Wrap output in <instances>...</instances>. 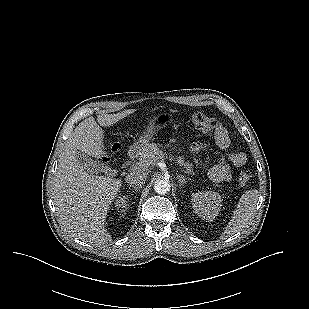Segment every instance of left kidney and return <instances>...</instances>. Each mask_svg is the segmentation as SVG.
Wrapping results in <instances>:
<instances>
[{
	"label": "left kidney",
	"mask_w": 309,
	"mask_h": 309,
	"mask_svg": "<svg viewBox=\"0 0 309 309\" xmlns=\"http://www.w3.org/2000/svg\"><path fill=\"white\" fill-rule=\"evenodd\" d=\"M192 206L195 213L205 221H213L218 215L222 198L214 191H202L193 193L191 196Z\"/></svg>",
	"instance_id": "obj_1"
}]
</instances>
